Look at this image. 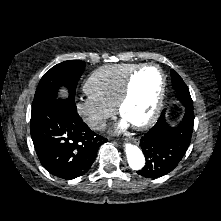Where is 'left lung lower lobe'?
Returning a JSON list of instances; mask_svg holds the SVG:
<instances>
[{"mask_svg": "<svg viewBox=\"0 0 221 221\" xmlns=\"http://www.w3.org/2000/svg\"><path fill=\"white\" fill-rule=\"evenodd\" d=\"M185 115L176 127H171L162 111L157 123L140 140L146 164L137 173L156 178L172 171L184 156L192 137L194 112L192 102H182Z\"/></svg>", "mask_w": 221, "mask_h": 221, "instance_id": "1", "label": "left lung lower lobe"}]
</instances>
